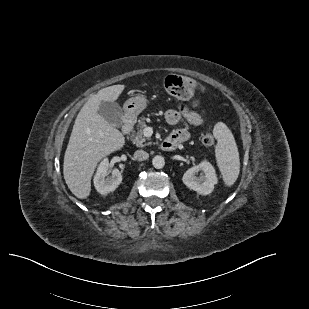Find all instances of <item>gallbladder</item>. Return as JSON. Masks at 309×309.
<instances>
[{"instance_id":"1","label":"gallbladder","mask_w":309,"mask_h":309,"mask_svg":"<svg viewBox=\"0 0 309 309\" xmlns=\"http://www.w3.org/2000/svg\"><path fill=\"white\" fill-rule=\"evenodd\" d=\"M98 113L112 126H121L123 112L118 103L102 101L100 103Z\"/></svg>"}]
</instances>
